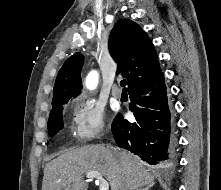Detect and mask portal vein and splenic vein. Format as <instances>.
<instances>
[{
    "instance_id": "1",
    "label": "portal vein and splenic vein",
    "mask_w": 221,
    "mask_h": 190,
    "mask_svg": "<svg viewBox=\"0 0 221 190\" xmlns=\"http://www.w3.org/2000/svg\"><path fill=\"white\" fill-rule=\"evenodd\" d=\"M87 179H97V181L100 183V190H109V183L102 177L101 173L97 171H91L86 173Z\"/></svg>"
}]
</instances>
